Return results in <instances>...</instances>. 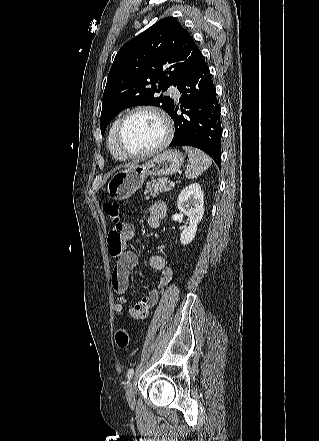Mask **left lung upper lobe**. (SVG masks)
Wrapping results in <instances>:
<instances>
[{
    "label": "left lung upper lobe",
    "instance_id": "obj_1",
    "mask_svg": "<svg viewBox=\"0 0 319 441\" xmlns=\"http://www.w3.org/2000/svg\"><path fill=\"white\" fill-rule=\"evenodd\" d=\"M193 37L173 17H166L127 42L118 51L103 94L100 128L122 110L137 105H155L168 114L170 97H155L169 86H177L200 56Z\"/></svg>",
    "mask_w": 319,
    "mask_h": 441
}]
</instances>
